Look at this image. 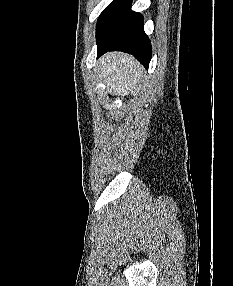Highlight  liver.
<instances>
[{"instance_id": "liver-1", "label": "liver", "mask_w": 233, "mask_h": 286, "mask_svg": "<svg viewBox=\"0 0 233 286\" xmlns=\"http://www.w3.org/2000/svg\"><path fill=\"white\" fill-rule=\"evenodd\" d=\"M97 73L107 84L108 92L122 96L136 94L143 81L142 66L124 53L112 52L102 56L97 62Z\"/></svg>"}]
</instances>
